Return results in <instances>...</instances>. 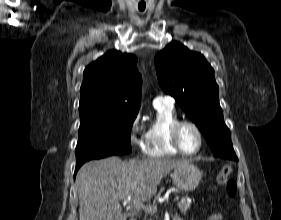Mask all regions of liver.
<instances>
[{
	"label": "liver",
	"instance_id": "liver-1",
	"mask_svg": "<svg viewBox=\"0 0 281 220\" xmlns=\"http://www.w3.org/2000/svg\"><path fill=\"white\" fill-rule=\"evenodd\" d=\"M188 160L122 161L112 156L85 163L78 171L79 220H125L120 201L128 195L141 202L157 192L162 178Z\"/></svg>",
	"mask_w": 281,
	"mask_h": 220
}]
</instances>
